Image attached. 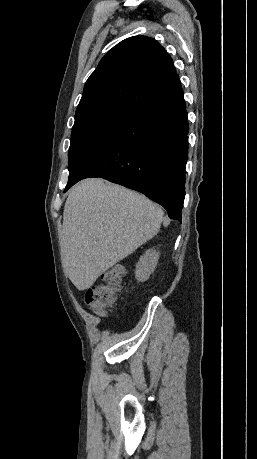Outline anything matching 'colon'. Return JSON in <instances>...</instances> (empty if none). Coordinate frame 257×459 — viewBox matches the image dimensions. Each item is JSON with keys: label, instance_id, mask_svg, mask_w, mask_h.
Returning a JSON list of instances; mask_svg holds the SVG:
<instances>
[{"label": "colon", "instance_id": "1", "mask_svg": "<svg viewBox=\"0 0 257 459\" xmlns=\"http://www.w3.org/2000/svg\"><path fill=\"white\" fill-rule=\"evenodd\" d=\"M123 270L120 267L110 269L104 283L86 290L85 303L97 314H104L117 301L122 284Z\"/></svg>", "mask_w": 257, "mask_h": 459}]
</instances>
